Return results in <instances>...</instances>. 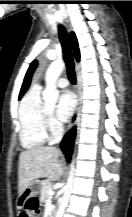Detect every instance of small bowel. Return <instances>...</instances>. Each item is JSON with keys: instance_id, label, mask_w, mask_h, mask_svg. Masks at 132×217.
<instances>
[{"instance_id": "small-bowel-1", "label": "small bowel", "mask_w": 132, "mask_h": 217, "mask_svg": "<svg viewBox=\"0 0 132 217\" xmlns=\"http://www.w3.org/2000/svg\"><path fill=\"white\" fill-rule=\"evenodd\" d=\"M23 213V212H22ZM22 213L20 214V217H23Z\"/></svg>"}]
</instances>
